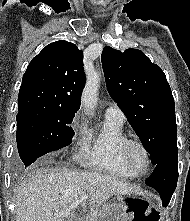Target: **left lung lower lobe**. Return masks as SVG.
Wrapping results in <instances>:
<instances>
[{"mask_svg":"<svg viewBox=\"0 0 190 221\" xmlns=\"http://www.w3.org/2000/svg\"><path fill=\"white\" fill-rule=\"evenodd\" d=\"M178 180V150H173L155 165L151 176L145 181L148 186L155 188L166 207L176 189Z\"/></svg>","mask_w":190,"mask_h":221,"instance_id":"left-lung-lower-lobe-1","label":"left lung lower lobe"}]
</instances>
